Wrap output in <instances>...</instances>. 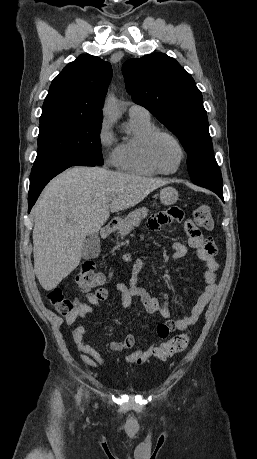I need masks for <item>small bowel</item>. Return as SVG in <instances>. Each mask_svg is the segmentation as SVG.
<instances>
[{
    "label": "small bowel",
    "instance_id": "obj_1",
    "mask_svg": "<svg viewBox=\"0 0 257 459\" xmlns=\"http://www.w3.org/2000/svg\"><path fill=\"white\" fill-rule=\"evenodd\" d=\"M186 218V209L182 208L180 205H159L158 211L151 215V217H147L145 221L146 225L152 230L167 229L169 226H179L180 222H183V227L181 229L183 237H178V242L172 245V248L169 250V255L172 257L173 261H179L187 255L188 248L190 247L195 249L196 256L202 263L204 287L186 316L177 320L170 319L171 309L168 294L163 291L157 294H150L143 288L137 286V274L141 267L140 256L134 257V275L129 285L119 283L116 286L121 297V308H128L133 298L137 297L148 313H158L166 320L164 323H160L157 326V335L161 339H165L169 333L173 331H183L196 323L216 291V272L219 267L216 260L217 248L210 240L202 237L195 229L194 220H186ZM138 242L144 243L145 237L139 236ZM121 262L122 264H131V255H122ZM102 290L106 293V297L103 299L98 296L99 290L95 292L85 291L82 296L76 297L74 299L76 309L65 317V324L70 326L77 319H82L92 312L94 307H100L102 301L108 296L107 290L105 288H102ZM84 335L85 327L82 324L76 326L72 332V339L80 352L81 360L92 368L105 365L106 362L101 353L84 340ZM135 340V335L129 333L120 341H111L109 348L112 351L128 350L133 348ZM154 349L155 346L153 345L138 348L127 355L125 361L129 364H142L152 356Z\"/></svg>",
    "mask_w": 257,
    "mask_h": 459
}]
</instances>
